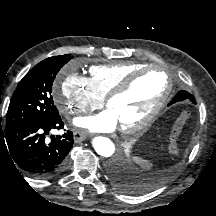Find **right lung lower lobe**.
Segmentation results:
<instances>
[{
	"label": "right lung lower lobe",
	"instance_id": "1",
	"mask_svg": "<svg viewBox=\"0 0 216 216\" xmlns=\"http://www.w3.org/2000/svg\"><path fill=\"white\" fill-rule=\"evenodd\" d=\"M63 128L60 116L6 127L0 130V144L8 149L10 157L23 170L37 178H51L64 168L74 140L71 131L61 136L52 135L50 142L45 140V135L52 129Z\"/></svg>",
	"mask_w": 216,
	"mask_h": 216
}]
</instances>
